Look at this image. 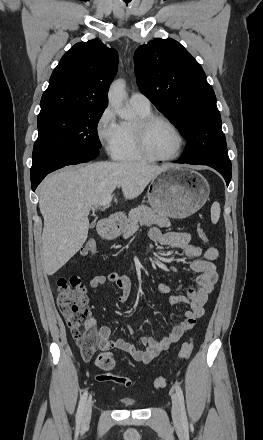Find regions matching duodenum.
<instances>
[{
	"mask_svg": "<svg viewBox=\"0 0 263 440\" xmlns=\"http://www.w3.org/2000/svg\"><path fill=\"white\" fill-rule=\"evenodd\" d=\"M111 224V220L110 219H104L101 223H100V226H99V232H100V234L102 235V237L103 238H107L108 237V232H107V229H108V226Z\"/></svg>",
	"mask_w": 263,
	"mask_h": 440,
	"instance_id": "duodenum-1",
	"label": "duodenum"
}]
</instances>
